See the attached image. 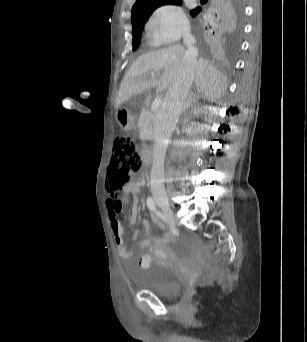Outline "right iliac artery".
Segmentation results:
<instances>
[{
    "label": "right iliac artery",
    "mask_w": 307,
    "mask_h": 342,
    "mask_svg": "<svg viewBox=\"0 0 307 342\" xmlns=\"http://www.w3.org/2000/svg\"><path fill=\"white\" fill-rule=\"evenodd\" d=\"M146 203H147L148 208L151 211L159 215V211L156 209V206L152 197H148Z\"/></svg>",
    "instance_id": "1"
}]
</instances>
